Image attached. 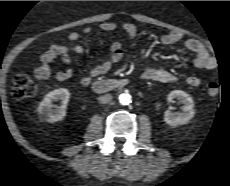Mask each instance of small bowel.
Returning <instances> with one entry per match:
<instances>
[{
    "label": "small bowel",
    "instance_id": "obj_1",
    "mask_svg": "<svg viewBox=\"0 0 230 186\" xmlns=\"http://www.w3.org/2000/svg\"><path fill=\"white\" fill-rule=\"evenodd\" d=\"M98 28L105 32H112L117 30L118 26L112 22H105L98 26ZM93 30V27H86L80 32H71L68 35L70 41L78 40L82 35L88 34ZM123 30L125 34L134 39L137 36V28L134 24L126 23L123 25ZM184 38L183 34L179 32H168L161 36L160 42L163 45H172L178 43ZM74 50L79 54H84L85 49L77 45ZM68 49L58 43H53L50 47L44 51L40 57L41 65L34 68L33 72L37 79L46 80L49 78L50 65L59 56H63L67 53ZM188 53H193L194 66L198 69L212 71L217 68V60L210 54L209 50L199 41L191 38H187L183 42V48L178 50V55L186 56ZM123 57V49L120 43H113L110 47V52L107 60L103 63L95 66L88 75L79 77V82L82 85H88L91 83L93 78L98 77L107 73L114 64L118 63ZM76 72L73 68H67L66 70L59 71L54 75V79L57 81H65L67 79L73 78ZM141 78L146 81H156L163 83H174L179 80V77L167 70L164 67H152L146 69L142 74ZM188 85L192 87H197L201 84V79L198 76H189L186 78Z\"/></svg>",
    "mask_w": 230,
    "mask_h": 186
}]
</instances>
